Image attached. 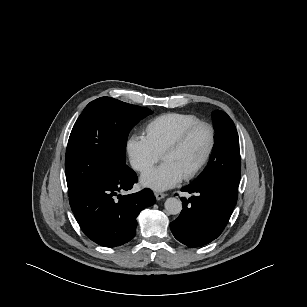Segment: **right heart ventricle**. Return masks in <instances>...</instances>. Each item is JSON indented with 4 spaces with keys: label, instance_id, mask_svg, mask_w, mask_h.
Segmentation results:
<instances>
[{
    "label": "right heart ventricle",
    "instance_id": "right-heart-ventricle-1",
    "mask_svg": "<svg viewBox=\"0 0 307 307\" xmlns=\"http://www.w3.org/2000/svg\"><path fill=\"white\" fill-rule=\"evenodd\" d=\"M199 121V117L193 114L166 113L147 124L146 137L154 149L162 154L186 127Z\"/></svg>",
    "mask_w": 307,
    "mask_h": 307
}]
</instances>
